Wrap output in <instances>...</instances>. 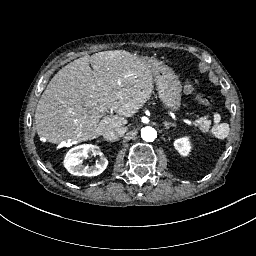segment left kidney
Segmentation results:
<instances>
[{
  "label": "left kidney",
  "mask_w": 256,
  "mask_h": 256,
  "mask_svg": "<svg viewBox=\"0 0 256 256\" xmlns=\"http://www.w3.org/2000/svg\"><path fill=\"white\" fill-rule=\"evenodd\" d=\"M175 148L181 153V155H187L190 150V144L188 139H178L174 142Z\"/></svg>",
  "instance_id": "5707ae66"
}]
</instances>
